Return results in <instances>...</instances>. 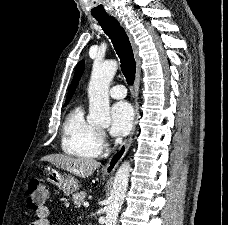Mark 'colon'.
Returning <instances> with one entry per match:
<instances>
[{
    "label": "colon",
    "instance_id": "obj_1",
    "mask_svg": "<svg viewBox=\"0 0 228 225\" xmlns=\"http://www.w3.org/2000/svg\"><path fill=\"white\" fill-rule=\"evenodd\" d=\"M28 204L34 210L44 207L45 201H49L48 186L38 179L30 180L26 188Z\"/></svg>",
    "mask_w": 228,
    "mask_h": 225
}]
</instances>
